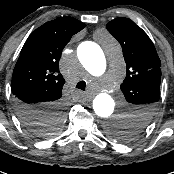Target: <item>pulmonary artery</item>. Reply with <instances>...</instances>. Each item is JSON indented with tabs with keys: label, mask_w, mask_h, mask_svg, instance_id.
Masks as SVG:
<instances>
[{
	"label": "pulmonary artery",
	"mask_w": 174,
	"mask_h": 174,
	"mask_svg": "<svg viewBox=\"0 0 174 174\" xmlns=\"http://www.w3.org/2000/svg\"><path fill=\"white\" fill-rule=\"evenodd\" d=\"M103 88L105 89V90H109V86L108 85H103Z\"/></svg>",
	"instance_id": "1"
}]
</instances>
